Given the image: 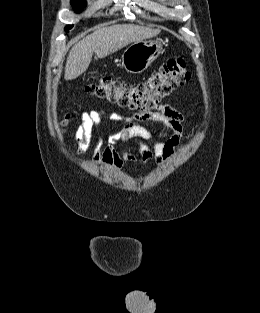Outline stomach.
<instances>
[{
	"label": "stomach",
	"mask_w": 260,
	"mask_h": 313,
	"mask_svg": "<svg viewBox=\"0 0 260 313\" xmlns=\"http://www.w3.org/2000/svg\"><path fill=\"white\" fill-rule=\"evenodd\" d=\"M163 52L160 40L136 41L122 54V67L129 73H142Z\"/></svg>",
	"instance_id": "0dacf381"
}]
</instances>
